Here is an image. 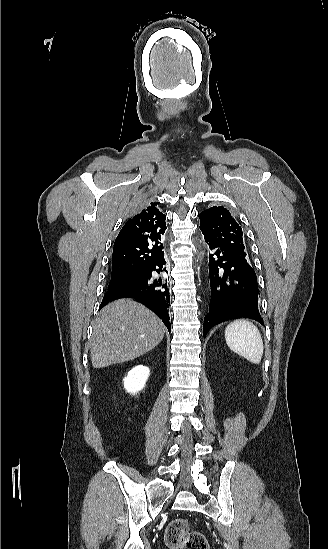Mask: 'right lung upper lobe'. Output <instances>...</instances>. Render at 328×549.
<instances>
[{"label":"right lung upper lobe","mask_w":328,"mask_h":549,"mask_svg":"<svg viewBox=\"0 0 328 549\" xmlns=\"http://www.w3.org/2000/svg\"><path fill=\"white\" fill-rule=\"evenodd\" d=\"M165 220L157 203L151 202L125 223L114 243L112 276L143 272L163 255Z\"/></svg>","instance_id":"cb5924a9"}]
</instances>
